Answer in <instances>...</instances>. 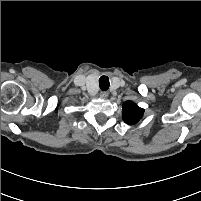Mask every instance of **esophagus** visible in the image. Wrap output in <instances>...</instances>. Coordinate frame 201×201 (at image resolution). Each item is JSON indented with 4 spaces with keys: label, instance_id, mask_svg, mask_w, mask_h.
I'll list each match as a JSON object with an SVG mask.
<instances>
[{
    "label": "esophagus",
    "instance_id": "esophagus-1",
    "mask_svg": "<svg viewBox=\"0 0 201 201\" xmlns=\"http://www.w3.org/2000/svg\"><path fill=\"white\" fill-rule=\"evenodd\" d=\"M108 95H109L108 92H101V93L99 94L100 98H102V99H106V98L108 97Z\"/></svg>",
    "mask_w": 201,
    "mask_h": 201
}]
</instances>
